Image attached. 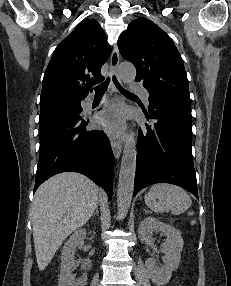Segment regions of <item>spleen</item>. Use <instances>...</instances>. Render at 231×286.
Masks as SVG:
<instances>
[{
    "instance_id": "spleen-1",
    "label": "spleen",
    "mask_w": 231,
    "mask_h": 286,
    "mask_svg": "<svg viewBox=\"0 0 231 286\" xmlns=\"http://www.w3.org/2000/svg\"><path fill=\"white\" fill-rule=\"evenodd\" d=\"M144 200L152 211L156 213L171 211L174 215L185 212L192 204L190 196L184 189L167 183L151 186Z\"/></svg>"
}]
</instances>
